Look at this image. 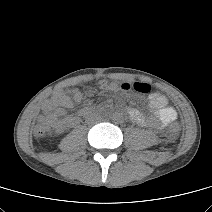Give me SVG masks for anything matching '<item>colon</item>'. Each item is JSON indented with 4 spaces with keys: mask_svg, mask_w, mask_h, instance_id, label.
Wrapping results in <instances>:
<instances>
[{
    "mask_svg": "<svg viewBox=\"0 0 212 212\" xmlns=\"http://www.w3.org/2000/svg\"><path fill=\"white\" fill-rule=\"evenodd\" d=\"M95 87L98 91L109 94V93H133L135 91L143 94H147L151 91L150 85L146 83H139L133 80L120 79V80H106L100 79L96 82ZM51 129V123L49 121H43L34 127V134L38 137L46 135ZM179 132V127L173 125L169 130V137L174 139Z\"/></svg>",
    "mask_w": 212,
    "mask_h": 212,
    "instance_id": "5ec220e1",
    "label": "colon"
}]
</instances>
